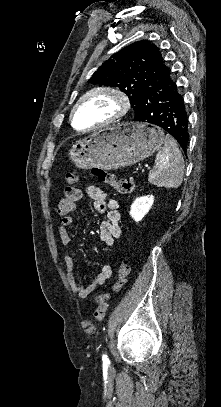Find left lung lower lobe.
Returning a JSON list of instances; mask_svg holds the SVG:
<instances>
[{
  "label": "left lung lower lobe",
  "instance_id": "obj_1",
  "mask_svg": "<svg viewBox=\"0 0 221 407\" xmlns=\"http://www.w3.org/2000/svg\"><path fill=\"white\" fill-rule=\"evenodd\" d=\"M134 120L161 127L186 152L189 139L188 113L180 87L169 69L142 89Z\"/></svg>",
  "mask_w": 221,
  "mask_h": 407
}]
</instances>
